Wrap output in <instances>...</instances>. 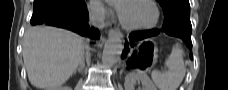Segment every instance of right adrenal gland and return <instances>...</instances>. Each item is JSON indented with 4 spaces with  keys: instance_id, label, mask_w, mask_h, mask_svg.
<instances>
[{
    "instance_id": "1",
    "label": "right adrenal gland",
    "mask_w": 228,
    "mask_h": 90,
    "mask_svg": "<svg viewBox=\"0 0 228 90\" xmlns=\"http://www.w3.org/2000/svg\"><path fill=\"white\" fill-rule=\"evenodd\" d=\"M83 68H84V63H83L82 65H80V66H79V68H77V69L73 72V74H72V75L76 74V72L81 73V72H82V70H83Z\"/></svg>"
}]
</instances>
